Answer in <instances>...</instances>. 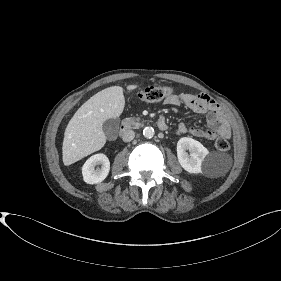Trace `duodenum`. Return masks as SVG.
Here are the masks:
<instances>
[{"instance_id": "obj_1", "label": "duodenum", "mask_w": 281, "mask_h": 281, "mask_svg": "<svg viewBox=\"0 0 281 281\" xmlns=\"http://www.w3.org/2000/svg\"><path fill=\"white\" fill-rule=\"evenodd\" d=\"M157 126L160 130L165 131L168 129V125L166 123V121L163 118H160L157 121ZM130 128V124L125 122L121 125V133H125L128 129Z\"/></svg>"}]
</instances>
